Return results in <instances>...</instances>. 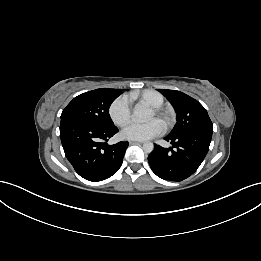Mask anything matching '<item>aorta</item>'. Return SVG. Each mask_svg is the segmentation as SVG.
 <instances>
[{"mask_svg":"<svg viewBox=\"0 0 261 261\" xmlns=\"http://www.w3.org/2000/svg\"><path fill=\"white\" fill-rule=\"evenodd\" d=\"M133 119L136 121H144L150 117V112L142 107H136L133 111ZM154 149V145L151 142H146L143 144V150L145 153H151Z\"/></svg>","mask_w":261,"mask_h":261,"instance_id":"obj_1","label":"aorta"}]
</instances>
